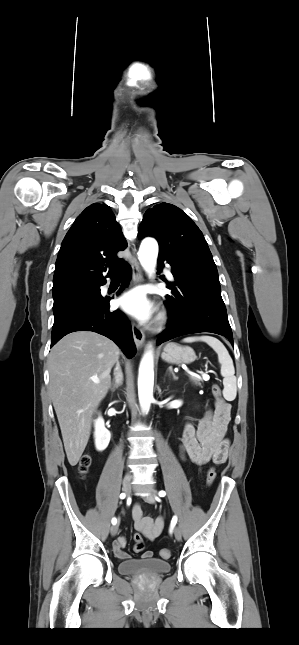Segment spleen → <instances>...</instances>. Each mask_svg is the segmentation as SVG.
I'll list each match as a JSON object with an SVG mask.
<instances>
[{
    "mask_svg": "<svg viewBox=\"0 0 299 645\" xmlns=\"http://www.w3.org/2000/svg\"><path fill=\"white\" fill-rule=\"evenodd\" d=\"M202 341L207 343L218 355V361L221 365V375L223 376V396L228 401H233L237 395V385L233 361L225 346L212 336L187 337L183 342L191 343Z\"/></svg>",
    "mask_w": 299,
    "mask_h": 645,
    "instance_id": "obj_1",
    "label": "spleen"
}]
</instances>
